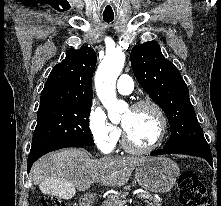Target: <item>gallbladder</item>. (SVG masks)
<instances>
[{"label":"gallbladder","mask_w":221,"mask_h":206,"mask_svg":"<svg viewBox=\"0 0 221 206\" xmlns=\"http://www.w3.org/2000/svg\"><path fill=\"white\" fill-rule=\"evenodd\" d=\"M38 190H42V194H51L53 198H73L76 194L71 181H40Z\"/></svg>","instance_id":"gallbladder-1"}]
</instances>
